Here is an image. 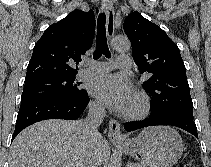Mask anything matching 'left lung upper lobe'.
<instances>
[{
  "mask_svg": "<svg viewBox=\"0 0 211 167\" xmlns=\"http://www.w3.org/2000/svg\"><path fill=\"white\" fill-rule=\"evenodd\" d=\"M123 27L140 73L151 74L143 88L152 95L153 115L193 119V102L178 46L165 31L138 12L128 15Z\"/></svg>",
  "mask_w": 211,
  "mask_h": 167,
  "instance_id": "5c2ea615",
  "label": "left lung upper lobe"
}]
</instances>
